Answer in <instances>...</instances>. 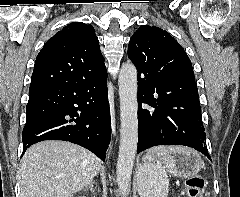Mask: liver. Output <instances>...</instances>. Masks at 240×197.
<instances>
[{
	"instance_id": "obj_1",
	"label": "liver",
	"mask_w": 240,
	"mask_h": 197,
	"mask_svg": "<svg viewBox=\"0 0 240 197\" xmlns=\"http://www.w3.org/2000/svg\"><path fill=\"white\" fill-rule=\"evenodd\" d=\"M100 159L70 142L46 140L25 152L18 169L20 197H72L92 183Z\"/></svg>"
}]
</instances>
